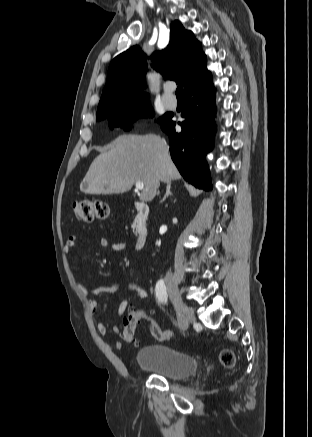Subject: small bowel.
<instances>
[{
    "instance_id": "small-bowel-1",
    "label": "small bowel",
    "mask_w": 312,
    "mask_h": 437,
    "mask_svg": "<svg viewBox=\"0 0 312 437\" xmlns=\"http://www.w3.org/2000/svg\"><path fill=\"white\" fill-rule=\"evenodd\" d=\"M77 241H78V237L76 235H74V234L70 235L65 242L64 251L67 254L70 253L77 246ZM99 245L103 248H108V249L115 251V252H122L126 249V243H124V242H112L107 238H101L99 240ZM128 288L132 293H134L136 295L137 299H139V300H145L148 296L147 291L143 287L139 286L136 283H129ZM79 289L81 290V292L85 296L91 297V296L99 295L101 293L114 292L116 290V285L111 284L109 286H100V287L94 288L92 290H89V289L83 287L82 285H79ZM130 306H131L130 301H128V300L121 301L117 307V311H116L117 315L122 316L130 308ZM89 308L93 313H95L98 310V305L94 300H89ZM97 329L102 335L107 334L109 331L108 326L104 322H101V321L98 322ZM110 330L113 333H118L120 328L118 325H114L110 328ZM112 346L115 349H120L122 344L120 341H113Z\"/></svg>"
}]
</instances>
